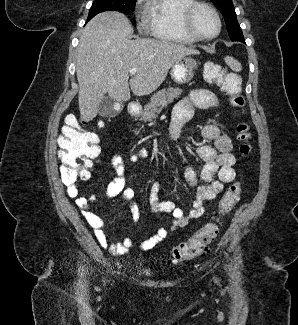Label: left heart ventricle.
<instances>
[{"instance_id": "left-heart-ventricle-1", "label": "left heart ventricle", "mask_w": 298, "mask_h": 325, "mask_svg": "<svg viewBox=\"0 0 298 325\" xmlns=\"http://www.w3.org/2000/svg\"><path fill=\"white\" fill-rule=\"evenodd\" d=\"M191 25L202 39L210 38L216 31L213 17L205 9H198L191 19Z\"/></svg>"}]
</instances>
